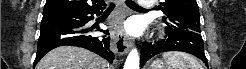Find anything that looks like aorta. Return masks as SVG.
<instances>
[{"label":"aorta","mask_w":246,"mask_h":69,"mask_svg":"<svg viewBox=\"0 0 246 69\" xmlns=\"http://www.w3.org/2000/svg\"><path fill=\"white\" fill-rule=\"evenodd\" d=\"M124 69H139V53L132 49L124 64Z\"/></svg>","instance_id":"762f6f07"}]
</instances>
